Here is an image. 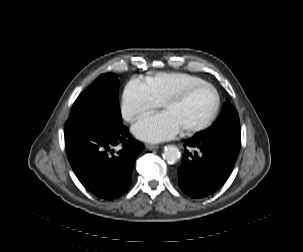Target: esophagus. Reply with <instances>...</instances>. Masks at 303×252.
Returning a JSON list of instances; mask_svg holds the SVG:
<instances>
[{
	"mask_svg": "<svg viewBox=\"0 0 303 252\" xmlns=\"http://www.w3.org/2000/svg\"><path fill=\"white\" fill-rule=\"evenodd\" d=\"M145 148H146L147 150H155V149L158 148V145L146 144V145H145Z\"/></svg>",
	"mask_w": 303,
	"mask_h": 252,
	"instance_id": "1",
	"label": "esophagus"
}]
</instances>
